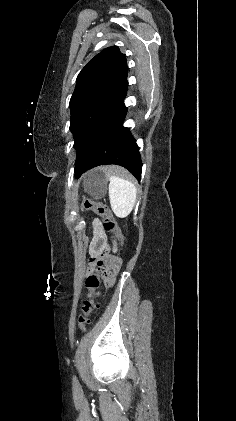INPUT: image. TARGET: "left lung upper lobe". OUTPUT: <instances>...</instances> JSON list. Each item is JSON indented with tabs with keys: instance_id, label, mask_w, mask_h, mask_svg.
<instances>
[{
	"instance_id": "5c2ea615",
	"label": "left lung upper lobe",
	"mask_w": 236,
	"mask_h": 421,
	"mask_svg": "<svg viewBox=\"0 0 236 421\" xmlns=\"http://www.w3.org/2000/svg\"><path fill=\"white\" fill-rule=\"evenodd\" d=\"M126 57L116 46L97 54L81 70L70 99V130L79 158L92 128L127 88Z\"/></svg>"
}]
</instances>
